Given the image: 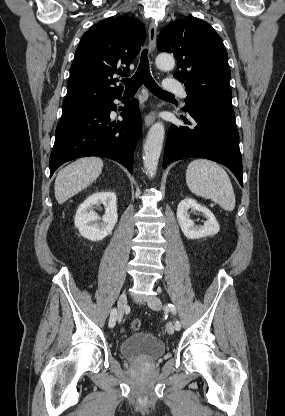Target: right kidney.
<instances>
[{
    "instance_id": "1",
    "label": "right kidney",
    "mask_w": 285,
    "mask_h": 416,
    "mask_svg": "<svg viewBox=\"0 0 285 416\" xmlns=\"http://www.w3.org/2000/svg\"><path fill=\"white\" fill-rule=\"evenodd\" d=\"M116 200L114 192H97V194L88 196L87 200L80 204L74 222L83 238L98 242L111 234L118 220ZM100 204L105 206V214L102 218H99L94 212ZM98 220H102V222H98Z\"/></svg>"
}]
</instances>
